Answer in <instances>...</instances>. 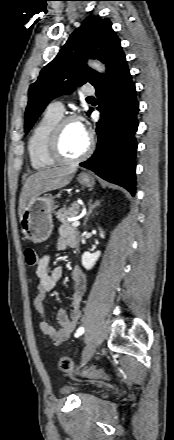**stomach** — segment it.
<instances>
[{
    "label": "stomach",
    "instance_id": "stomach-1",
    "mask_svg": "<svg viewBox=\"0 0 174 440\" xmlns=\"http://www.w3.org/2000/svg\"><path fill=\"white\" fill-rule=\"evenodd\" d=\"M84 187H93L94 178L87 173H82L77 178ZM54 208L53 197L44 195L36 197L29 203L22 214V232L27 239L34 243L46 241L53 229L52 211Z\"/></svg>",
    "mask_w": 174,
    "mask_h": 440
}]
</instances>
